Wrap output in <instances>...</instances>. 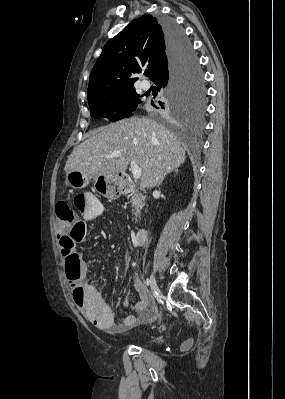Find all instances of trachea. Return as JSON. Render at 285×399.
Listing matches in <instances>:
<instances>
[{"label":"trachea","mask_w":285,"mask_h":399,"mask_svg":"<svg viewBox=\"0 0 285 399\" xmlns=\"http://www.w3.org/2000/svg\"><path fill=\"white\" fill-rule=\"evenodd\" d=\"M145 74H146L147 76H149V75H150V70H147Z\"/></svg>","instance_id":"1"}]
</instances>
